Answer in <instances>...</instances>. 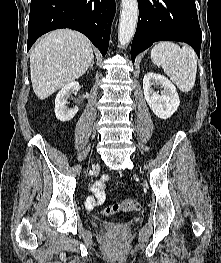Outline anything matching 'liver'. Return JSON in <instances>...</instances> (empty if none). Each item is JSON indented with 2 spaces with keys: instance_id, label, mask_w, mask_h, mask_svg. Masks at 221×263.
Instances as JSON below:
<instances>
[{
  "instance_id": "obj_1",
  "label": "liver",
  "mask_w": 221,
  "mask_h": 263,
  "mask_svg": "<svg viewBox=\"0 0 221 263\" xmlns=\"http://www.w3.org/2000/svg\"><path fill=\"white\" fill-rule=\"evenodd\" d=\"M94 59L92 44L71 29L55 30L41 38L30 54L33 91L43 100L81 77Z\"/></svg>"
}]
</instances>
